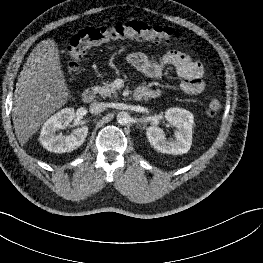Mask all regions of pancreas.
<instances>
[{"mask_svg":"<svg viewBox=\"0 0 263 263\" xmlns=\"http://www.w3.org/2000/svg\"><path fill=\"white\" fill-rule=\"evenodd\" d=\"M94 91L100 94L102 98L117 96L113 83H103L102 86H96Z\"/></svg>","mask_w":263,"mask_h":263,"instance_id":"obj_1","label":"pancreas"}]
</instances>
